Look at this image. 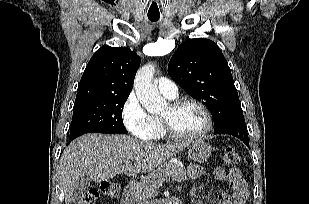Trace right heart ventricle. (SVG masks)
Listing matches in <instances>:
<instances>
[{
  "mask_svg": "<svg viewBox=\"0 0 309 204\" xmlns=\"http://www.w3.org/2000/svg\"><path fill=\"white\" fill-rule=\"evenodd\" d=\"M152 119L154 120V122L157 126V134H156L155 138H159V137L163 136V134H164L160 120L157 117H154V116H152Z\"/></svg>",
  "mask_w": 309,
  "mask_h": 204,
  "instance_id": "right-heart-ventricle-1",
  "label": "right heart ventricle"
}]
</instances>
